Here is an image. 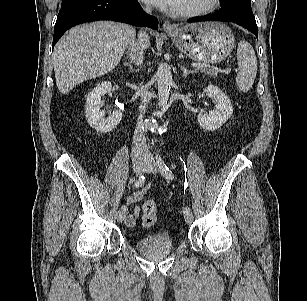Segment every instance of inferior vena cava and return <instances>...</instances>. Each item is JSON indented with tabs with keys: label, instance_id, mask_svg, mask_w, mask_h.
I'll use <instances>...</instances> for the list:
<instances>
[{
	"label": "inferior vena cava",
	"instance_id": "602c4592",
	"mask_svg": "<svg viewBox=\"0 0 307 301\" xmlns=\"http://www.w3.org/2000/svg\"><path fill=\"white\" fill-rule=\"evenodd\" d=\"M146 12L151 13V9L149 6L145 9ZM147 37V34L145 32H140L138 35V41L133 42L128 46V49L130 51V58L131 60L139 67L143 64V51H144V43L143 38ZM139 94L142 99V104L147 103L150 100V92L148 88L141 87L139 90ZM140 115L138 118V123L134 132L133 137V144H132V154L139 155L144 154L147 151V143L145 135L141 129V124L143 122V114L146 111V108L144 105H141L139 107Z\"/></svg>",
	"mask_w": 307,
	"mask_h": 301
}]
</instances>
